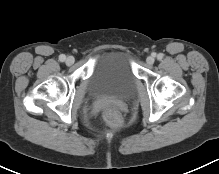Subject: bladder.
<instances>
[{
	"label": "bladder",
	"instance_id": "1",
	"mask_svg": "<svg viewBox=\"0 0 219 174\" xmlns=\"http://www.w3.org/2000/svg\"><path fill=\"white\" fill-rule=\"evenodd\" d=\"M132 58L125 50L104 51L96 60L89 89L96 97L129 98L137 85Z\"/></svg>",
	"mask_w": 219,
	"mask_h": 174
}]
</instances>
